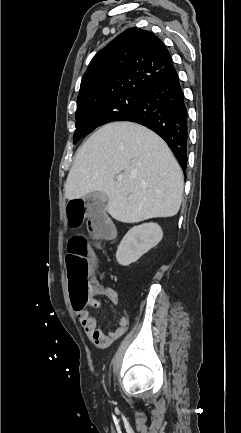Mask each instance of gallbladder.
Returning a JSON list of instances; mask_svg holds the SVG:
<instances>
[{"mask_svg": "<svg viewBox=\"0 0 241 433\" xmlns=\"http://www.w3.org/2000/svg\"><path fill=\"white\" fill-rule=\"evenodd\" d=\"M85 198H86V199H89V200L94 199V200L99 201L100 203H102V204L100 205V208H101V209H105V206L103 205V203L107 200V196H106L105 193H103V192H99V191H95V192H91V193L87 194V195L85 196Z\"/></svg>", "mask_w": 241, "mask_h": 433, "instance_id": "gallbladder-1", "label": "gallbladder"}]
</instances>
